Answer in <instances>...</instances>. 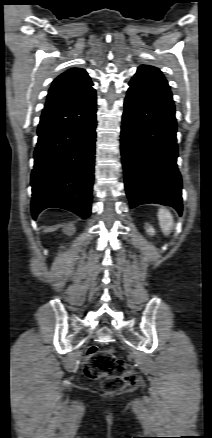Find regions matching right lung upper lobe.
I'll return each mask as SVG.
<instances>
[{
	"label": "right lung upper lobe",
	"mask_w": 212,
	"mask_h": 438,
	"mask_svg": "<svg viewBox=\"0 0 212 438\" xmlns=\"http://www.w3.org/2000/svg\"><path fill=\"white\" fill-rule=\"evenodd\" d=\"M92 85L84 69H70L53 81L45 108L83 101L95 94Z\"/></svg>",
	"instance_id": "obj_1"
}]
</instances>
